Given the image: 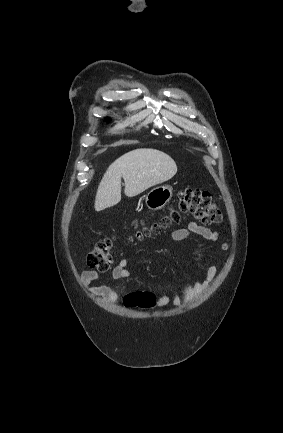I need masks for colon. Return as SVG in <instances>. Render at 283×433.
Returning <instances> with one entry per match:
<instances>
[{
  "mask_svg": "<svg viewBox=\"0 0 283 433\" xmlns=\"http://www.w3.org/2000/svg\"><path fill=\"white\" fill-rule=\"evenodd\" d=\"M182 214H191L205 225L220 224L223 215L219 207L213 202L211 195L201 189L186 187L181 189L167 214L159 221L149 225L136 224L135 238L145 240L161 230L180 221ZM114 258V238L105 236L100 239L87 255V263L91 268L107 271L111 268ZM125 305L131 308H152L157 304L156 297L150 292H134L124 299Z\"/></svg>",
  "mask_w": 283,
  "mask_h": 433,
  "instance_id": "colon-1",
  "label": "colon"
}]
</instances>
